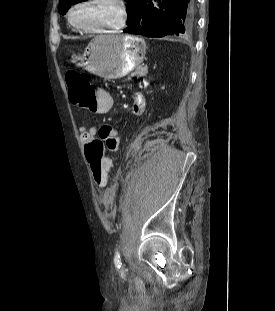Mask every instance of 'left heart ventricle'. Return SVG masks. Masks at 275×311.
Here are the masks:
<instances>
[{
	"mask_svg": "<svg viewBox=\"0 0 275 311\" xmlns=\"http://www.w3.org/2000/svg\"><path fill=\"white\" fill-rule=\"evenodd\" d=\"M117 17L113 5L95 1L76 9L72 15L75 24L81 26H96L113 22Z\"/></svg>",
	"mask_w": 275,
	"mask_h": 311,
	"instance_id": "left-heart-ventricle-1",
	"label": "left heart ventricle"
}]
</instances>
